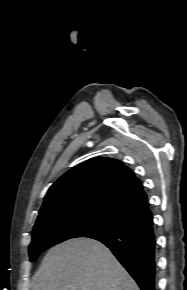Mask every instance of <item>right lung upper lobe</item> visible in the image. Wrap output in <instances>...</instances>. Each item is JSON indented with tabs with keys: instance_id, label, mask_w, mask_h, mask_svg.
<instances>
[{
	"instance_id": "1",
	"label": "right lung upper lobe",
	"mask_w": 187,
	"mask_h": 290,
	"mask_svg": "<svg viewBox=\"0 0 187 290\" xmlns=\"http://www.w3.org/2000/svg\"><path fill=\"white\" fill-rule=\"evenodd\" d=\"M141 182L122 162L96 157L62 175L49 189L39 216L80 207L110 208L128 221L151 215Z\"/></svg>"
}]
</instances>
